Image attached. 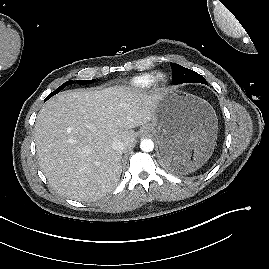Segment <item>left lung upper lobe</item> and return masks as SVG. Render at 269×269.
<instances>
[{"instance_id": "5c2ea615", "label": "left lung upper lobe", "mask_w": 269, "mask_h": 269, "mask_svg": "<svg viewBox=\"0 0 269 269\" xmlns=\"http://www.w3.org/2000/svg\"><path fill=\"white\" fill-rule=\"evenodd\" d=\"M172 67V82L173 84H181V83H191V82H197L202 84H207L204 77H202L200 74L187 69L183 66H180L178 64H171Z\"/></svg>"}]
</instances>
